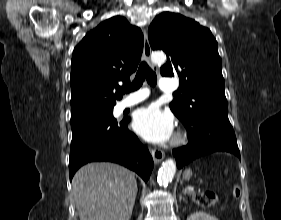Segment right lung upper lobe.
I'll list each match as a JSON object with an SVG mask.
<instances>
[{
	"label": "right lung upper lobe",
	"instance_id": "cb5924a9",
	"mask_svg": "<svg viewBox=\"0 0 281 220\" xmlns=\"http://www.w3.org/2000/svg\"><path fill=\"white\" fill-rule=\"evenodd\" d=\"M143 50V34L122 16L91 30L71 61V119L113 109L118 82H130Z\"/></svg>",
	"mask_w": 281,
	"mask_h": 220
}]
</instances>
